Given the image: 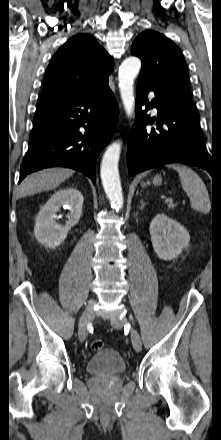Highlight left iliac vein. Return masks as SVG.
<instances>
[{"label":"left iliac vein","mask_w":221,"mask_h":440,"mask_svg":"<svg viewBox=\"0 0 221 440\" xmlns=\"http://www.w3.org/2000/svg\"><path fill=\"white\" fill-rule=\"evenodd\" d=\"M125 323H126L125 318H115L114 317L111 319V324L115 328H121ZM130 336H131V341H132V345H133L134 349L137 352L141 351L142 341H141V337H140L139 333L137 332V330L132 328Z\"/></svg>","instance_id":"obj_1"}]
</instances>
